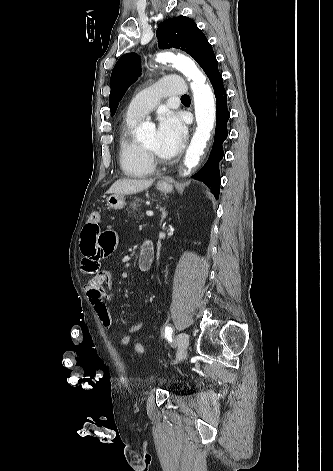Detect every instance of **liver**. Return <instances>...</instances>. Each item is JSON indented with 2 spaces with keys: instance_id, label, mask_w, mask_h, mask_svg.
<instances>
[{
  "instance_id": "6515ba94",
  "label": "liver",
  "mask_w": 333,
  "mask_h": 471,
  "mask_svg": "<svg viewBox=\"0 0 333 471\" xmlns=\"http://www.w3.org/2000/svg\"><path fill=\"white\" fill-rule=\"evenodd\" d=\"M154 179H119L108 190L112 194H135L149 188Z\"/></svg>"
}]
</instances>
